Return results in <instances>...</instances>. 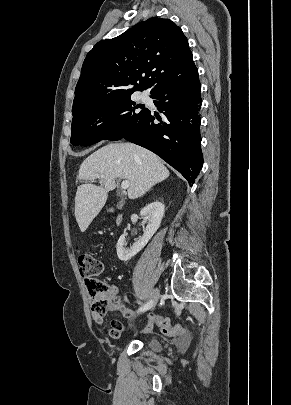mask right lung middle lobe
Returning <instances> with one entry per match:
<instances>
[{
	"mask_svg": "<svg viewBox=\"0 0 291 405\" xmlns=\"http://www.w3.org/2000/svg\"><path fill=\"white\" fill-rule=\"evenodd\" d=\"M130 97L92 104L74 112L71 143L89 146L101 140H120L131 132L146 116L148 109H143Z\"/></svg>",
	"mask_w": 291,
	"mask_h": 405,
	"instance_id": "obj_1",
	"label": "right lung middle lobe"
}]
</instances>
